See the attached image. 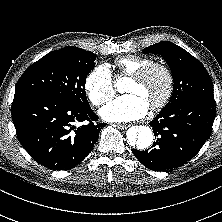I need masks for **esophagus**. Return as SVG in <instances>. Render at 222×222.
I'll return each mask as SVG.
<instances>
[{"mask_svg":"<svg viewBox=\"0 0 222 222\" xmlns=\"http://www.w3.org/2000/svg\"><path fill=\"white\" fill-rule=\"evenodd\" d=\"M130 125L128 124H118V128L124 130V129H127Z\"/></svg>","mask_w":222,"mask_h":222,"instance_id":"obj_1","label":"esophagus"}]
</instances>
